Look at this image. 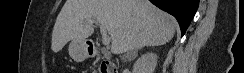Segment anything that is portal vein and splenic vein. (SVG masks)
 <instances>
[{
    "label": "portal vein and splenic vein",
    "mask_w": 244,
    "mask_h": 73,
    "mask_svg": "<svg viewBox=\"0 0 244 73\" xmlns=\"http://www.w3.org/2000/svg\"><path fill=\"white\" fill-rule=\"evenodd\" d=\"M85 22L87 24L92 25L93 23H95V20L87 19ZM100 31H101V35H102L103 45L108 46L110 44L111 38L107 35V30L102 24H100Z\"/></svg>",
    "instance_id": "portal-vein-and-splenic-vein-1"
}]
</instances>
